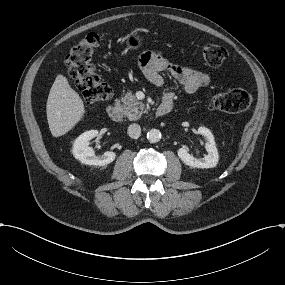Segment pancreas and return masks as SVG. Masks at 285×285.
I'll return each instance as SVG.
<instances>
[{"label":"pancreas","mask_w":285,"mask_h":285,"mask_svg":"<svg viewBox=\"0 0 285 285\" xmlns=\"http://www.w3.org/2000/svg\"><path fill=\"white\" fill-rule=\"evenodd\" d=\"M120 101L122 102V113L130 121H135L141 118V115L145 109V104L141 101H138L132 92L126 93L125 96L120 99Z\"/></svg>","instance_id":"1"}]
</instances>
